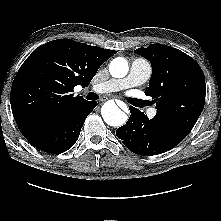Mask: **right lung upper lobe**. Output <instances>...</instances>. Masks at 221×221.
Wrapping results in <instances>:
<instances>
[{
    "label": "right lung upper lobe",
    "mask_w": 221,
    "mask_h": 221,
    "mask_svg": "<svg viewBox=\"0 0 221 221\" xmlns=\"http://www.w3.org/2000/svg\"><path fill=\"white\" fill-rule=\"evenodd\" d=\"M115 50L58 39L35 49L20 67L11 88L15 121L26 138L86 102L71 92L86 87Z\"/></svg>",
    "instance_id": "right-lung-upper-lobe-1"
}]
</instances>
